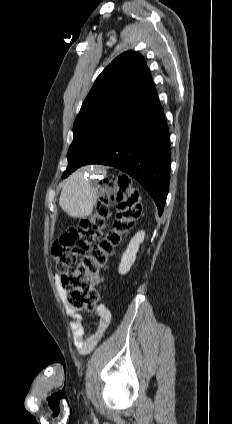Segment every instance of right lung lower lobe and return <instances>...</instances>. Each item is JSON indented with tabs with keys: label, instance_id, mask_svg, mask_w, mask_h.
Segmentation results:
<instances>
[{
	"label": "right lung lower lobe",
	"instance_id": "98d812e1",
	"mask_svg": "<svg viewBox=\"0 0 232 424\" xmlns=\"http://www.w3.org/2000/svg\"><path fill=\"white\" fill-rule=\"evenodd\" d=\"M168 131L156 95L132 106L129 121L113 130L82 165L104 164L126 172L148 191L161 215L170 177Z\"/></svg>",
	"mask_w": 232,
	"mask_h": 424
}]
</instances>
